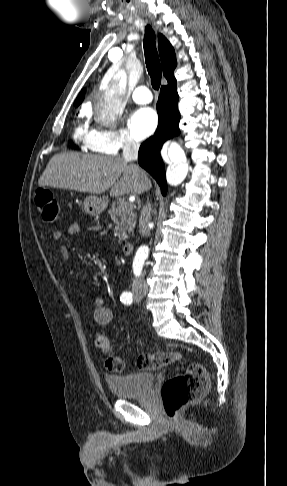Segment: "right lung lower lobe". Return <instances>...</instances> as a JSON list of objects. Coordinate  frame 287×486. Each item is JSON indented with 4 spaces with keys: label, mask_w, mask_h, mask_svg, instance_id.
<instances>
[{
    "label": "right lung lower lobe",
    "mask_w": 287,
    "mask_h": 486,
    "mask_svg": "<svg viewBox=\"0 0 287 486\" xmlns=\"http://www.w3.org/2000/svg\"><path fill=\"white\" fill-rule=\"evenodd\" d=\"M178 94L176 81L161 87L157 102L159 123L155 134L146 140L139 149L138 162L157 181L163 195L167 192L165 166L160 149L165 141L178 135L180 114L177 109Z\"/></svg>",
    "instance_id": "obj_1"
}]
</instances>
